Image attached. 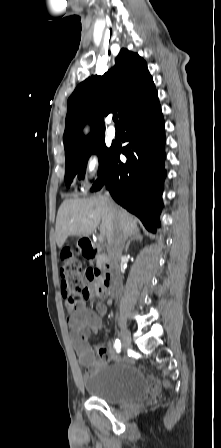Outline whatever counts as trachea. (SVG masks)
I'll list each match as a JSON object with an SVG mask.
<instances>
[{"label": "trachea", "mask_w": 221, "mask_h": 448, "mask_svg": "<svg viewBox=\"0 0 221 448\" xmlns=\"http://www.w3.org/2000/svg\"><path fill=\"white\" fill-rule=\"evenodd\" d=\"M113 121L115 122V125H119L117 114L113 115Z\"/></svg>", "instance_id": "trachea-1"}]
</instances>
